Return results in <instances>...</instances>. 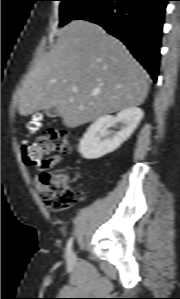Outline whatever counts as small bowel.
Returning <instances> with one entry per match:
<instances>
[{"label": "small bowel", "mask_w": 180, "mask_h": 299, "mask_svg": "<svg viewBox=\"0 0 180 299\" xmlns=\"http://www.w3.org/2000/svg\"><path fill=\"white\" fill-rule=\"evenodd\" d=\"M61 160H62V157L60 155H54L52 157H49L48 159H46L44 161V163H42V165H40L38 167V171L42 172V171L48 170V169L54 167L56 164H58ZM36 186H37L38 190L43 189V186L40 181L37 182Z\"/></svg>", "instance_id": "1"}]
</instances>
